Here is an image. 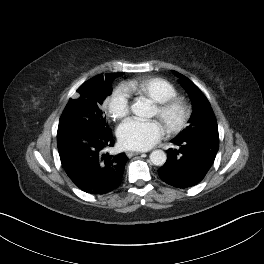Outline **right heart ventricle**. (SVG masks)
I'll return each instance as SVG.
<instances>
[{
  "mask_svg": "<svg viewBox=\"0 0 264 264\" xmlns=\"http://www.w3.org/2000/svg\"><path fill=\"white\" fill-rule=\"evenodd\" d=\"M125 87L130 93L147 97L155 103L164 102L177 95L175 86L161 77H142L128 82Z\"/></svg>",
  "mask_w": 264,
  "mask_h": 264,
  "instance_id": "right-heart-ventricle-1",
  "label": "right heart ventricle"
}]
</instances>
